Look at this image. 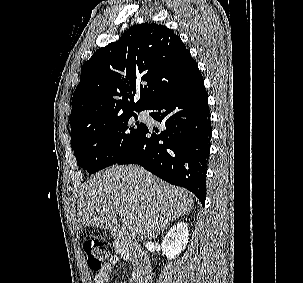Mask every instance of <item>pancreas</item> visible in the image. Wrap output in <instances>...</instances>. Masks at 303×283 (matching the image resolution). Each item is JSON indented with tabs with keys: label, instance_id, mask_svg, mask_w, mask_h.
Returning <instances> with one entry per match:
<instances>
[{
	"label": "pancreas",
	"instance_id": "obj_1",
	"mask_svg": "<svg viewBox=\"0 0 303 283\" xmlns=\"http://www.w3.org/2000/svg\"><path fill=\"white\" fill-rule=\"evenodd\" d=\"M117 248L119 249V252L123 256V258L129 259L133 262V254L129 253V243L118 244Z\"/></svg>",
	"mask_w": 303,
	"mask_h": 283
}]
</instances>
